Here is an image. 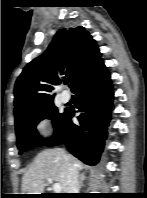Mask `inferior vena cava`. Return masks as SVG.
<instances>
[{"label":"inferior vena cava","instance_id":"obj_1","mask_svg":"<svg viewBox=\"0 0 147 198\" xmlns=\"http://www.w3.org/2000/svg\"><path fill=\"white\" fill-rule=\"evenodd\" d=\"M67 193H79L78 171L76 167L67 162Z\"/></svg>","mask_w":147,"mask_h":198}]
</instances>
